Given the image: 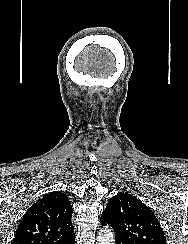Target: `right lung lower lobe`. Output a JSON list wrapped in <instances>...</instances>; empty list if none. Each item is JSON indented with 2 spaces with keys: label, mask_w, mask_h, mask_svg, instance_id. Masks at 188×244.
Masks as SVG:
<instances>
[{
  "label": "right lung lower lobe",
  "mask_w": 188,
  "mask_h": 244,
  "mask_svg": "<svg viewBox=\"0 0 188 244\" xmlns=\"http://www.w3.org/2000/svg\"><path fill=\"white\" fill-rule=\"evenodd\" d=\"M68 244H75V238L69 241Z\"/></svg>",
  "instance_id": "obj_1"
}]
</instances>
